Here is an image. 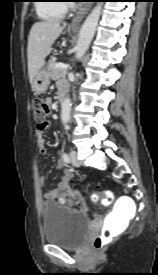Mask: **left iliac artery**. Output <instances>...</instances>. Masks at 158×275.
<instances>
[{
  "instance_id": "1",
  "label": "left iliac artery",
  "mask_w": 158,
  "mask_h": 275,
  "mask_svg": "<svg viewBox=\"0 0 158 275\" xmlns=\"http://www.w3.org/2000/svg\"><path fill=\"white\" fill-rule=\"evenodd\" d=\"M63 160H64V162L69 163L70 159H69L68 154H66V153L63 154Z\"/></svg>"
}]
</instances>
